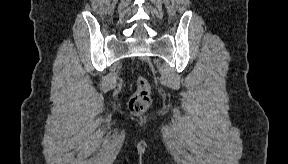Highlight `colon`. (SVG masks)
<instances>
[{
  "label": "colon",
  "instance_id": "obj_1",
  "mask_svg": "<svg viewBox=\"0 0 288 164\" xmlns=\"http://www.w3.org/2000/svg\"><path fill=\"white\" fill-rule=\"evenodd\" d=\"M151 100V89L148 81L138 76L136 90L128 100V109L131 113L139 115L146 111Z\"/></svg>",
  "mask_w": 288,
  "mask_h": 164
}]
</instances>
